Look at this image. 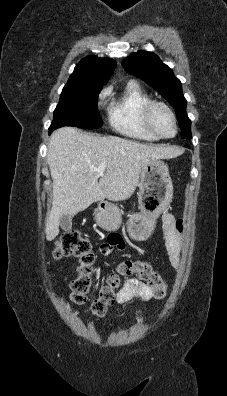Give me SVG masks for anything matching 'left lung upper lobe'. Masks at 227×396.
Here are the masks:
<instances>
[{
  "label": "left lung upper lobe",
  "instance_id": "left-lung-upper-lobe-1",
  "mask_svg": "<svg viewBox=\"0 0 227 396\" xmlns=\"http://www.w3.org/2000/svg\"><path fill=\"white\" fill-rule=\"evenodd\" d=\"M122 66L125 70L152 86L175 109L181 137L190 140L191 121L186 113V99L182 93V85L173 71L152 52L140 50L127 57Z\"/></svg>",
  "mask_w": 227,
  "mask_h": 396
}]
</instances>
